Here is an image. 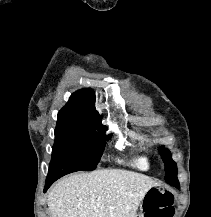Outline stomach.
<instances>
[{"label":"stomach","instance_id":"obj_1","mask_svg":"<svg viewBox=\"0 0 211 217\" xmlns=\"http://www.w3.org/2000/svg\"><path fill=\"white\" fill-rule=\"evenodd\" d=\"M144 214H145V213L143 212V208H142V206H141V208H140V212H139L138 214H136L135 217H145Z\"/></svg>","mask_w":211,"mask_h":217}]
</instances>
